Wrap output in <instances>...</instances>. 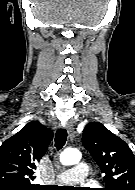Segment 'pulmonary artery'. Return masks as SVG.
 Masks as SVG:
<instances>
[{
  "label": "pulmonary artery",
  "instance_id": "e3ab8cb5",
  "mask_svg": "<svg viewBox=\"0 0 135 190\" xmlns=\"http://www.w3.org/2000/svg\"><path fill=\"white\" fill-rule=\"evenodd\" d=\"M88 165L84 162L75 164L72 168L56 174V182L60 184H72L85 180L88 177Z\"/></svg>",
  "mask_w": 135,
  "mask_h": 190
}]
</instances>
